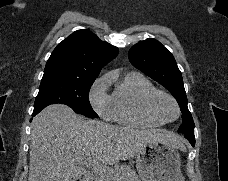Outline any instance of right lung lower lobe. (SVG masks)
<instances>
[{"mask_svg": "<svg viewBox=\"0 0 228 181\" xmlns=\"http://www.w3.org/2000/svg\"><path fill=\"white\" fill-rule=\"evenodd\" d=\"M38 113H39V112L34 111L33 114H32V116H35V115H37Z\"/></svg>", "mask_w": 228, "mask_h": 181, "instance_id": "obj_1", "label": "right lung lower lobe"}]
</instances>
